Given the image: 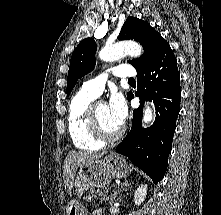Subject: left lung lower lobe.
<instances>
[{"label": "left lung lower lobe", "instance_id": "1", "mask_svg": "<svg viewBox=\"0 0 221 215\" xmlns=\"http://www.w3.org/2000/svg\"><path fill=\"white\" fill-rule=\"evenodd\" d=\"M137 84L135 95L141 99V107L133 111L131 130L116 152L128 156L157 183L167 169L181 100L177 60L168 43L144 69L137 71ZM132 98L133 94L128 99ZM145 100L153 101L156 109L155 121L147 129L141 127Z\"/></svg>", "mask_w": 221, "mask_h": 215}]
</instances>
